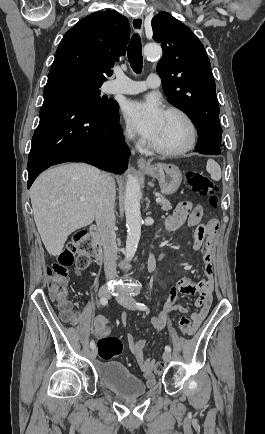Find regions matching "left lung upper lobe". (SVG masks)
I'll return each instance as SVG.
<instances>
[{"instance_id": "5c2ea615", "label": "left lung upper lobe", "mask_w": 265, "mask_h": 434, "mask_svg": "<svg viewBox=\"0 0 265 434\" xmlns=\"http://www.w3.org/2000/svg\"><path fill=\"white\" fill-rule=\"evenodd\" d=\"M151 25L153 39L163 49L157 73L167 100L189 116L199 137L222 145L216 86L203 44L167 12L158 13Z\"/></svg>"}]
</instances>
